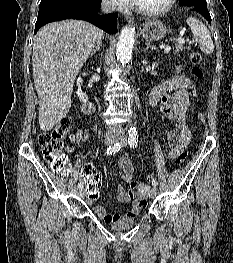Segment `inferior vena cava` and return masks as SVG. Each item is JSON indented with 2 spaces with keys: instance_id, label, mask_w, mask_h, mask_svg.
I'll return each mask as SVG.
<instances>
[{
  "instance_id": "inferior-vena-cava-1",
  "label": "inferior vena cava",
  "mask_w": 233,
  "mask_h": 263,
  "mask_svg": "<svg viewBox=\"0 0 233 263\" xmlns=\"http://www.w3.org/2000/svg\"><path fill=\"white\" fill-rule=\"evenodd\" d=\"M115 8H116L115 0H102L101 9L104 14L113 12ZM118 129H121V127L118 125H110L108 127L109 131H115Z\"/></svg>"
}]
</instances>
